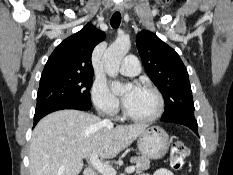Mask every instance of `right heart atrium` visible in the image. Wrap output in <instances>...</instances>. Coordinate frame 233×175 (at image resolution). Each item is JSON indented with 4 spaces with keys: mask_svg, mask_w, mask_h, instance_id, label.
Masks as SVG:
<instances>
[{
    "mask_svg": "<svg viewBox=\"0 0 233 175\" xmlns=\"http://www.w3.org/2000/svg\"><path fill=\"white\" fill-rule=\"evenodd\" d=\"M90 95L94 106L100 112L113 116L119 111L120 101L105 81L96 79L92 84Z\"/></svg>",
    "mask_w": 233,
    "mask_h": 175,
    "instance_id": "obj_1",
    "label": "right heart atrium"
}]
</instances>
